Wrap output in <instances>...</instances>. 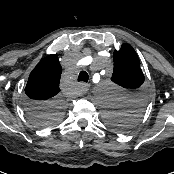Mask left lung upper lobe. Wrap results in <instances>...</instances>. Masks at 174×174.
Returning <instances> with one entry per match:
<instances>
[{"label": "left lung upper lobe", "mask_w": 174, "mask_h": 174, "mask_svg": "<svg viewBox=\"0 0 174 174\" xmlns=\"http://www.w3.org/2000/svg\"><path fill=\"white\" fill-rule=\"evenodd\" d=\"M112 81L126 87L136 89L144 82V74L135 50L129 44H123L120 50H115ZM144 107L142 94L136 93L127 99L125 107L120 112H111L107 121L116 131L126 132L132 128Z\"/></svg>", "instance_id": "obj_1"}]
</instances>
